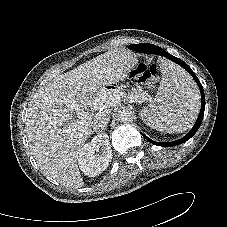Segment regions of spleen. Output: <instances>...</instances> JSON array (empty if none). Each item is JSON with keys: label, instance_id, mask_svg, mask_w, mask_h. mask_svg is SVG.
I'll return each instance as SVG.
<instances>
[{"label": "spleen", "instance_id": "1", "mask_svg": "<svg viewBox=\"0 0 227 227\" xmlns=\"http://www.w3.org/2000/svg\"><path fill=\"white\" fill-rule=\"evenodd\" d=\"M161 73L156 97L140 116L148 126L162 132L186 131L199 112V92L190 76L173 63L163 62Z\"/></svg>", "mask_w": 227, "mask_h": 227}]
</instances>
